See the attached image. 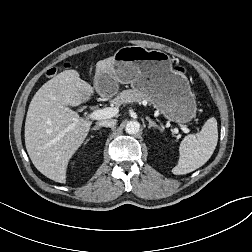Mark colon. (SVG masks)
<instances>
[{"label": "colon", "instance_id": "1", "mask_svg": "<svg viewBox=\"0 0 252 252\" xmlns=\"http://www.w3.org/2000/svg\"><path fill=\"white\" fill-rule=\"evenodd\" d=\"M178 69L180 70V68H178ZM55 71H56V70H55V69H53V70H52V74H54V73H55Z\"/></svg>", "mask_w": 252, "mask_h": 252}]
</instances>
